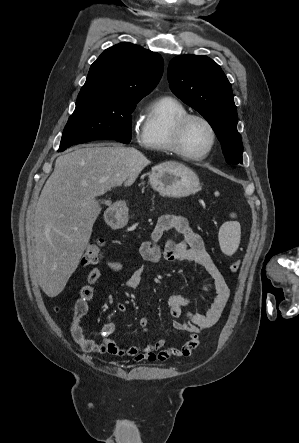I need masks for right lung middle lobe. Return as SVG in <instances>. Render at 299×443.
Here are the masks:
<instances>
[{
	"mask_svg": "<svg viewBox=\"0 0 299 443\" xmlns=\"http://www.w3.org/2000/svg\"><path fill=\"white\" fill-rule=\"evenodd\" d=\"M140 100L101 94H79L58 151L99 139L131 141V113Z\"/></svg>",
	"mask_w": 299,
	"mask_h": 443,
	"instance_id": "obj_1",
	"label": "right lung middle lobe"
}]
</instances>
